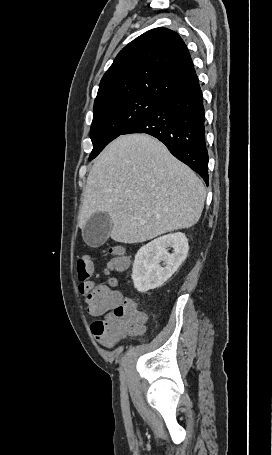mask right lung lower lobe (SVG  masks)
Here are the masks:
<instances>
[{"mask_svg": "<svg viewBox=\"0 0 272 455\" xmlns=\"http://www.w3.org/2000/svg\"><path fill=\"white\" fill-rule=\"evenodd\" d=\"M204 121L203 95L197 81L164 99L158 108L122 134L147 133L158 138L208 184Z\"/></svg>", "mask_w": 272, "mask_h": 455, "instance_id": "right-lung-lower-lobe-1", "label": "right lung lower lobe"}]
</instances>
